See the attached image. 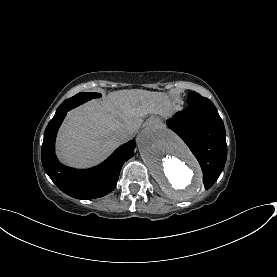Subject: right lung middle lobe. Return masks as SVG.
Here are the masks:
<instances>
[{
    "instance_id": "obj_1",
    "label": "right lung middle lobe",
    "mask_w": 277,
    "mask_h": 277,
    "mask_svg": "<svg viewBox=\"0 0 277 277\" xmlns=\"http://www.w3.org/2000/svg\"><path fill=\"white\" fill-rule=\"evenodd\" d=\"M101 97V94L99 93H79L75 96L65 100L57 109V111H60L64 108H67V110H70L72 108H75L79 106L80 104L89 101L93 98Z\"/></svg>"
}]
</instances>
